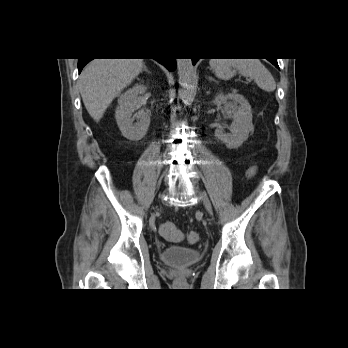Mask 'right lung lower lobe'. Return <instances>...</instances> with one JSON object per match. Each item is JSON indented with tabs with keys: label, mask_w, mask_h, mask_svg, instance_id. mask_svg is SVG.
<instances>
[{
	"label": "right lung lower lobe",
	"mask_w": 348,
	"mask_h": 348,
	"mask_svg": "<svg viewBox=\"0 0 348 348\" xmlns=\"http://www.w3.org/2000/svg\"><path fill=\"white\" fill-rule=\"evenodd\" d=\"M159 63L164 65L169 71H173L175 69V61L172 58H163V59H156ZM91 59H79L78 61V70L79 73L83 69V67L89 62Z\"/></svg>",
	"instance_id": "right-lung-lower-lobe-1"
}]
</instances>
